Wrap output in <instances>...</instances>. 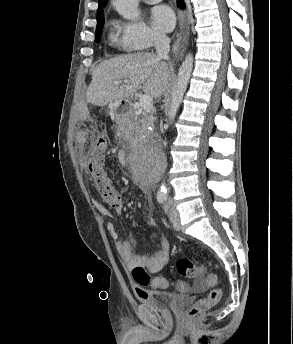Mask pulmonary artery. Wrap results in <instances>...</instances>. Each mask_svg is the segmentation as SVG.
Here are the masks:
<instances>
[{"mask_svg":"<svg viewBox=\"0 0 293 344\" xmlns=\"http://www.w3.org/2000/svg\"><path fill=\"white\" fill-rule=\"evenodd\" d=\"M143 1L147 4H155V3L160 2L161 0H143Z\"/></svg>","mask_w":293,"mask_h":344,"instance_id":"pulmonary-artery-1","label":"pulmonary artery"}]
</instances>
